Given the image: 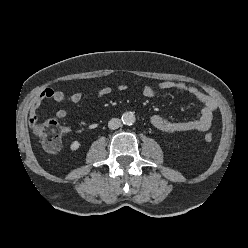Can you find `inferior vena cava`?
Segmentation results:
<instances>
[{"instance_id": "602c4592", "label": "inferior vena cava", "mask_w": 248, "mask_h": 248, "mask_svg": "<svg viewBox=\"0 0 248 248\" xmlns=\"http://www.w3.org/2000/svg\"><path fill=\"white\" fill-rule=\"evenodd\" d=\"M121 126V120L118 118H113L108 122V127L111 130L118 129Z\"/></svg>"}]
</instances>
